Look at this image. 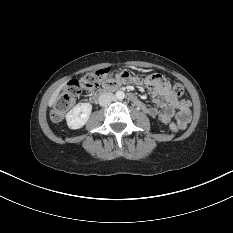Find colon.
<instances>
[{"label":"colon","mask_w":233,"mask_h":233,"mask_svg":"<svg viewBox=\"0 0 233 233\" xmlns=\"http://www.w3.org/2000/svg\"><path fill=\"white\" fill-rule=\"evenodd\" d=\"M115 74V70L104 68L89 72L81 78L69 82L66 88L56 98L51 110V118L54 121L62 120L65 113L74 106L83 92L95 93L101 87H112L116 85V81L114 80ZM172 92L176 96H182L184 88L180 83L174 82ZM170 129L173 132H177L180 128L176 123H171Z\"/></svg>","instance_id":"1"}]
</instances>
